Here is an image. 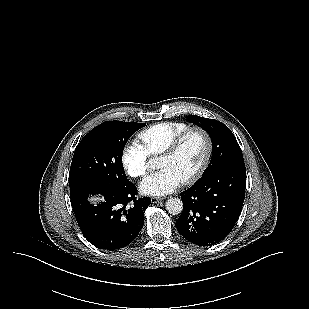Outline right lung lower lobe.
I'll list each match as a JSON object with an SVG mask.
<instances>
[{
  "label": "right lung lower lobe",
  "mask_w": 309,
  "mask_h": 309,
  "mask_svg": "<svg viewBox=\"0 0 309 309\" xmlns=\"http://www.w3.org/2000/svg\"><path fill=\"white\" fill-rule=\"evenodd\" d=\"M136 186L118 187L101 181L70 186L71 205L86 239L96 247L115 251L134 241L144 223L149 197L137 199ZM132 201L131 206H127Z\"/></svg>",
  "instance_id": "right-lung-lower-lobe-1"
}]
</instances>
